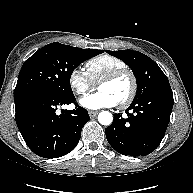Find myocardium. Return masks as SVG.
<instances>
[{"mask_svg": "<svg viewBox=\"0 0 193 193\" xmlns=\"http://www.w3.org/2000/svg\"><path fill=\"white\" fill-rule=\"evenodd\" d=\"M123 76H128L130 78L131 90H130V93L127 96V98L125 100H123L122 102L118 103V106L120 108L128 107L134 101V99L137 95L138 81H137V77L134 74V72L129 68L118 69V70H115V71L107 74L98 82V87H99L101 84L116 81Z\"/></svg>", "mask_w": 193, "mask_h": 193, "instance_id": "f54148a6", "label": "myocardium"}]
</instances>
